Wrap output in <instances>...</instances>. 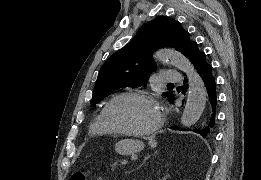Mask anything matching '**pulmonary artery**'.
I'll return each instance as SVG.
<instances>
[{
  "instance_id": "e3ab8cb5",
  "label": "pulmonary artery",
  "mask_w": 261,
  "mask_h": 180,
  "mask_svg": "<svg viewBox=\"0 0 261 180\" xmlns=\"http://www.w3.org/2000/svg\"><path fill=\"white\" fill-rule=\"evenodd\" d=\"M162 77H183V72H162ZM163 83H186V78H163Z\"/></svg>"
}]
</instances>
